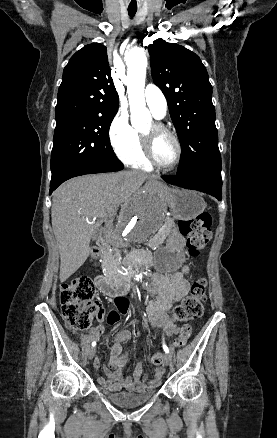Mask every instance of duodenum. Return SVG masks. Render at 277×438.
<instances>
[{"instance_id":"obj_1","label":"duodenum","mask_w":277,"mask_h":438,"mask_svg":"<svg viewBox=\"0 0 277 438\" xmlns=\"http://www.w3.org/2000/svg\"><path fill=\"white\" fill-rule=\"evenodd\" d=\"M98 246L105 251L107 246L104 242H98ZM154 263L153 255L149 251H135L129 254L123 262L124 272L119 276L104 277L97 279L96 285L101 293L108 296L124 295L130 289V272L136 266H151Z\"/></svg>"}]
</instances>
